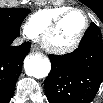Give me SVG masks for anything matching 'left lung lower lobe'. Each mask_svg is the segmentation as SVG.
<instances>
[{"instance_id":"obj_1","label":"left lung lower lobe","mask_w":103,"mask_h":103,"mask_svg":"<svg viewBox=\"0 0 103 103\" xmlns=\"http://www.w3.org/2000/svg\"><path fill=\"white\" fill-rule=\"evenodd\" d=\"M51 72L45 80L50 103H90L103 79V37L91 23L79 48L63 56L49 55Z\"/></svg>"}]
</instances>
